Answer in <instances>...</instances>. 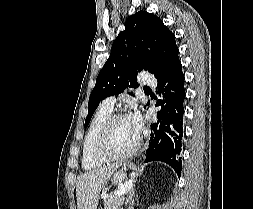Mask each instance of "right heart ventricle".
Returning <instances> with one entry per match:
<instances>
[{
    "label": "right heart ventricle",
    "instance_id": "1",
    "mask_svg": "<svg viewBox=\"0 0 253 209\" xmlns=\"http://www.w3.org/2000/svg\"><path fill=\"white\" fill-rule=\"evenodd\" d=\"M111 114L112 107H108L102 103L90 122L83 140L82 150V166L86 170L96 169L105 163V160L96 155L95 147L99 131Z\"/></svg>",
    "mask_w": 253,
    "mask_h": 209
}]
</instances>
